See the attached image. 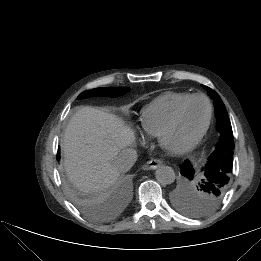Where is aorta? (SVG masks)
Segmentation results:
<instances>
[{
  "label": "aorta",
  "instance_id": "1",
  "mask_svg": "<svg viewBox=\"0 0 261 261\" xmlns=\"http://www.w3.org/2000/svg\"><path fill=\"white\" fill-rule=\"evenodd\" d=\"M157 181L161 184H171L175 181V172L170 166L162 165L155 172Z\"/></svg>",
  "mask_w": 261,
  "mask_h": 261
}]
</instances>
